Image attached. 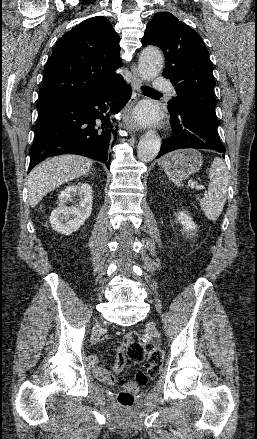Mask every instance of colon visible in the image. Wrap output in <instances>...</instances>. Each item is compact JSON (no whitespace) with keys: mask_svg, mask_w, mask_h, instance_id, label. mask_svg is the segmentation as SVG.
I'll use <instances>...</instances> for the list:
<instances>
[{"mask_svg":"<svg viewBox=\"0 0 257 439\" xmlns=\"http://www.w3.org/2000/svg\"><path fill=\"white\" fill-rule=\"evenodd\" d=\"M128 360L138 363L144 362L146 369L139 371L133 380L124 382V388L117 395L118 404L124 408H130L133 406L135 402L134 392L141 386L145 385L148 379L155 377L158 374L161 365V357L159 353L152 345L143 344L140 340L139 334L135 331L128 332L119 345L114 362V369H122ZM90 364L95 367L96 373L106 383L112 384L114 382V376L110 372L97 367V357H91Z\"/></svg>","mask_w":257,"mask_h":439,"instance_id":"1","label":"colon"}]
</instances>
